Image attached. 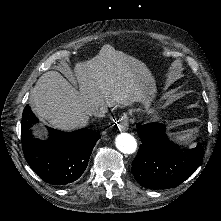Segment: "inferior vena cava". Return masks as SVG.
<instances>
[{
	"label": "inferior vena cava",
	"instance_id": "602c4592",
	"mask_svg": "<svg viewBox=\"0 0 221 221\" xmlns=\"http://www.w3.org/2000/svg\"><path fill=\"white\" fill-rule=\"evenodd\" d=\"M108 112V107L105 105H99L92 109V115L98 118H103Z\"/></svg>",
	"mask_w": 221,
	"mask_h": 221
}]
</instances>
